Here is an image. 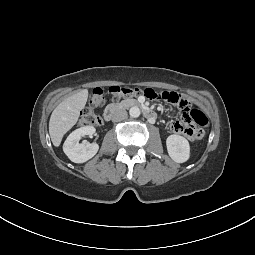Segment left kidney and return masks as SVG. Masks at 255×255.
Masks as SVG:
<instances>
[{
	"label": "left kidney",
	"instance_id": "obj_1",
	"mask_svg": "<svg viewBox=\"0 0 255 255\" xmlns=\"http://www.w3.org/2000/svg\"><path fill=\"white\" fill-rule=\"evenodd\" d=\"M167 151L171 159L184 163L190 157V146L186 138L180 135H170L166 139Z\"/></svg>",
	"mask_w": 255,
	"mask_h": 255
}]
</instances>
